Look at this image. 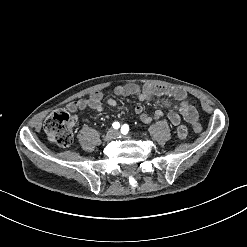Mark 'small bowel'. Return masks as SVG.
I'll return each instance as SVG.
<instances>
[{
  "mask_svg": "<svg viewBox=\"0 0 247 247\" xmlns=\"http://www.w3.org/2000/svg\"><path fill=\"white\" fill-rule=\"evenodd\" d=\"M113 92L115 96H134L139 101H147L156 98L164 108L169 110L168 120L173 126L177 127V135L180 140H183L186 137V129L183 126H180V116L177 112L185 114L188 125L195 127L199 123L197 118L198 114L189 104L187 92L182 89L152 84L139 86L134 83H127L117 85ZM116 104L117 101L114 96H107L104 98L101 91H95L89 98L69 102L66 105V109L71 113L85 109L103 111L104 106L114 107ZM134 111L143 123H150L153 120H159L163 117L161 110H156L153 114H148L140 104L135 106Z\"/></svg>",
  "mask_w": 247,
  "mask_h": 247,
  "instance_id": "obj_1",
  "label": "small bowel"
}]
</instances>
